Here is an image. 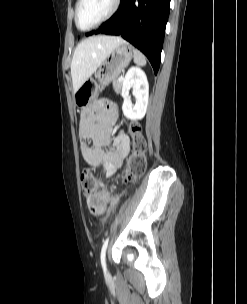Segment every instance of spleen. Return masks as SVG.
Wrapping results in <instances>:
<instances>
[{
    "mask_svg": "<svg viewBox=\"0 0 247 304\" xmlns=\"http://www.w3.org/2000/svg\"><path fill=\"white\" fill-rule=\"evenodd\" d=\"M134 53V62L138 66H145L146 65V58L145 56L137 49L133 50Z\"/></svg>",
    "mask_w": 247,
    "mask_h": 304,
    "instance_id": "3e777b00",
    "label": "spleen"
}]
</instances>
